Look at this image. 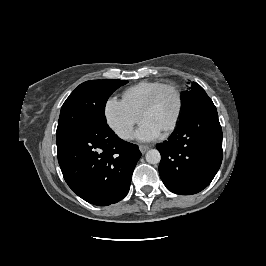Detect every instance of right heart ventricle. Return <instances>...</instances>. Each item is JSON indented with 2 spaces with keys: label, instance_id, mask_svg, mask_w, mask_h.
Returning <instances> with one entry per match:
<instances>
[{
  "label": "right heart ventricle",
  "instance_id": "e07e8e85",
  "mask_svg": "<svg viewBox=\"0 0 266 266\" xmlns=\"http://www.w3.org/2000/svg\"><path fill=\"white\" fill-rule=\"evenodd\" d=\"M160 81H141L123 92V100L134 111L140 114L141 109L150 95L161 85Z\"/></svg>",
  "mask_w": 266,
  "mask_h": 266
}]
</instances>
